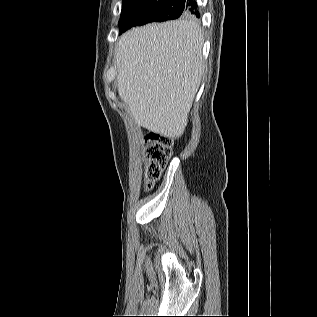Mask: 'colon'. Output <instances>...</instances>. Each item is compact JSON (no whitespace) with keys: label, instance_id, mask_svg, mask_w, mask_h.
Listing matches in <instances>:
<instances>
[{"label":"colon","instance_id":"1","mask_svg":"<svg viewBox=\"0 0 317 317\" xmlns=\"http://www.w3.org/2000/svg\"><path fill=\"white\" fill-rule=\"evenodd\" d=\"M146 141L149 145L146 154L145 189L150 190L152 183L160 178L172 154V141L169 137L158 133H149Z\"/></svg>","mask_w":317,"mask_h":317}]
</instances>
